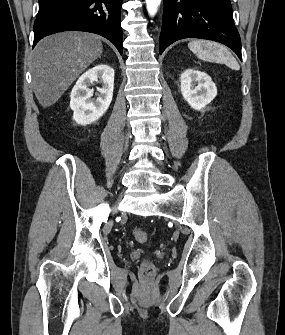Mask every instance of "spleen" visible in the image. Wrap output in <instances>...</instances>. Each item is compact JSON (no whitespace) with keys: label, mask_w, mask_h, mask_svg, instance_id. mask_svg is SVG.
Masks as SVG:
<instances>
[{"label":"spleen","mask_w":285,"mask_h":335,"mask_svg":"<svg viewBox=\"0 0 285 335\" xmlns=\"http://www.w3.org/2000/svg\"><path fill=\"white\" fill-rule=\"evenodd\" d=\"M189 50L196 54L197 58L200 60H205V62H217V64H226L232 70H239L240 66L233 58L232 54L216 44V42H209V40H193L188 44Z\"/></svg>","instance_id":"obj_1"}]
</instances>
